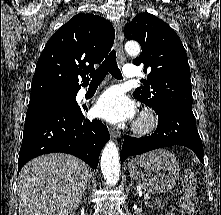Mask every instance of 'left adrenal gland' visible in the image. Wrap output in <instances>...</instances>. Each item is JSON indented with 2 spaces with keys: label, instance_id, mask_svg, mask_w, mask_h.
<instances>
[{
  "label": "left adrenal gland",
  "instance_id": "a2214340",
  "mask_svg": "<svg viewBox=\"0 0 221 215\" xmlns=\"http://www.w3.org/2000/svg\"><path fill=\"white\" fill-rule=\"evenodd\" d=\"M130 188H133V189L137 192V190H136V188H135L134 183H133L132 180L130 181L129 189H130Z\"/></svg>",
  "mask_w": 221,
  "mask_h": 215
}]
</instances>
